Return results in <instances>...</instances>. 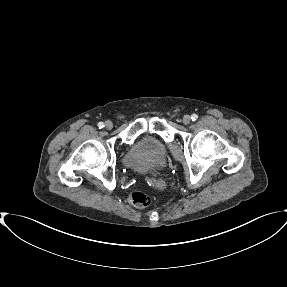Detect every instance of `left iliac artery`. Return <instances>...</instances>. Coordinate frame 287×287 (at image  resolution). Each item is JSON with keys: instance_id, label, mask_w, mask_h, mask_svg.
I'll list each match as a JSON object with an SVG mask.
<instances>
[{"instance_id": "obj_1", "label": "left iliac artery", "mask_w": 287, "mask_h": 287, "mask_svg": "<svg viewBox=\"0 0 287 287\" xmlns=\"http://www.w3.org/2000/svg\"><path fill=\"white\" fill-rule=\"evenodd\" d=\"M197 118H198V115H197V114H192V115H191L192 121L197 120Z\"/></svg>"}]
</instances>
